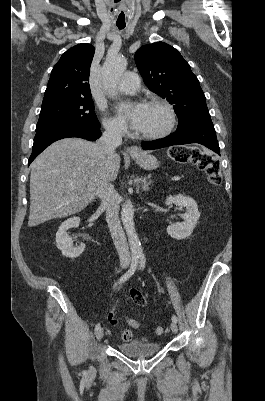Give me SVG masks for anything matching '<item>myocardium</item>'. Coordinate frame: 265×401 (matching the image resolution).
<instances>
[{
    "label": "myocardium",
    "mask_w": 265,
    "mask_h": 401,
    "mask_svg": "<svg viewBox=\"0 0 265 401\" xmlns=\"http://www.w3.org/2000/svg\"><path fill=\"white\" fill-rule=\"evenodd\" d=\"M148 105L160 107L165 112L166 119L164 124L157 131L148 134H140L138 136L142 139H156L165 135L173 128L176 114L172 106L162 99H152L148 102Z\"/></svg>",
    "instance_id": "obj_1"
}]
</instances>
